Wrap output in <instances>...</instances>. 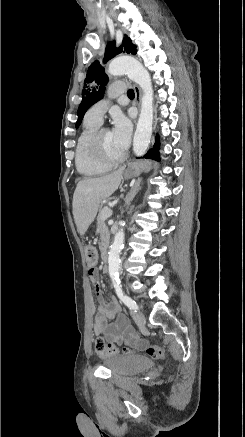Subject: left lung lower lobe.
I'll return each instance as SVG.
<instances>
[{
	"label": "left lung lower lobe",
	"mask_w": 245,
	"mask_h": 437,
	"mask_svg": "<svg viewBox=\"0 0 245 437\" xmlns=\"http://www.w3.org/2000/svg\"><path fill=\"white\" fill-rule=\"evenodd\" d=\"M155 148H152L148 151V153L144 156V158L159 160V139L156 138V143L154 145Z\"/></svg>",
	"instance_id": "0a47b994"
}]
</instances>
